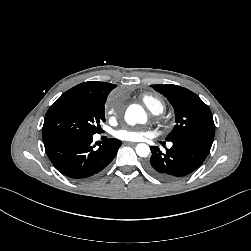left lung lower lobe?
Listing matches in <instances>:
<instances>
[{
    "instance_id": "obj_1",
    "label": "left lung lower lobe",
    "mask_w": 251,
    "mask_h": 251,
    "mask_svg": "<svg viewBox=\"0 0 251 251\" xmlns=\"http://www.w3.org/2000/svg\"><path fill=\"white\" fill-rule=\"evenodd\" d=\"M173 146L163 153L151 146L152 156L147 170L164 181L180 179L196 170L210 152L212 142L202 138H181L172 140Z\"/></svg>"
}]
</instances>
